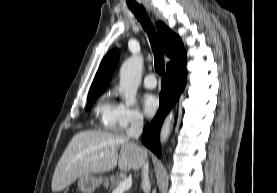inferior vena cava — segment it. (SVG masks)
<instances>
[{
    "label": "inferior vena cava",
    "instance_id": "1",
    "mask_svg": "<svg viewBox=\"0 0 277 193\" xmlns=\"http://www.w3.org/2000/svg\"><path fill=\"white\" fill-rule=\"evenodd\" d=\"M143 129V117L139 115L132 116L131 118V126L126 131L127 138H132L138 140L139 136L142 133ZM141 187L144 193H149L150 191V180H149V164L147 161V157L143 159L142 162V181Z\"/></svg>",
    "mask_w": 277,
    "mask_h": 193
}]
</instances>
